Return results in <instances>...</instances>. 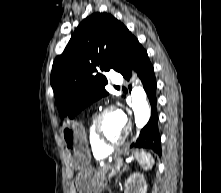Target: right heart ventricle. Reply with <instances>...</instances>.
<instances>
[{
	"mask_svg": "<svg viewBox=\"0 0 221 193\" xmlns=\"http://www.w3.org/2000/svg\"><path fill=\"white\" fill-rule=\"evenodd\" d=\"M93 123H94V118L91 119L90 124H89V131H88L89 144H90L92 153L95 157L104 158L110 153V150L108 148L103 147L95 138L94 133H93Z\"/></svg>",
	"mask_w": 221,
	"mask_h": 193,
	"instance_id": "obj_1",
	"label": "right heart ventricle"
}]
</instances>
